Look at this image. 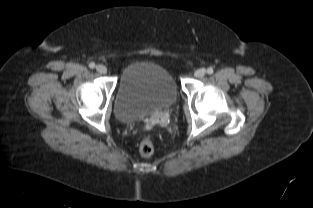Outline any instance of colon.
<instances>
[{
	"mask_svg": "<svg viewBox=\"0 0 313 208\" xmlns=\"http://www.w3.org/2000/svg\"><path fill=\"white\" fill-rule=\"evenodd\" d=\"M139 152L143 157H150L154 153V142L151 137L144 138L139 145Z\"/></svg>",
	"mask_w": 313,
	"mask_h": 208,
	"instance_id": "5ec220e1",
	"label": "colon"
}]
</instances>
